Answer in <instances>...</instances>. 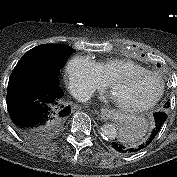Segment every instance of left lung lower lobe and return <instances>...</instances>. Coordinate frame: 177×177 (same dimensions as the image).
<instances>
[{"mask_svg": "<svg viewBox=\"0 0 177 177\" xmlns=\"http://www.w3.org/2000/svg\"><path fill=\"white\" fill-rule=\"evenodd\" d=\"M154 119H155L154 129L152 130L150 136L142 144L135 146V147H130V146L123 145L117 142H113L112 148L119 153H134V152H138L142 150L143 148L147 147L155 139V137L161 130L163 124L165 123L167 119V114L166 112L155 113Z\"/></svg>", "mask_w": 177, "mask_h": 177, "instance_id": "obj_1", "label": "left lung lower lobe"}]
</instances>
